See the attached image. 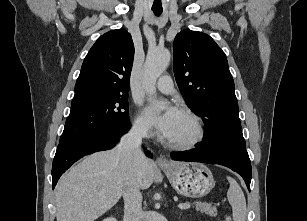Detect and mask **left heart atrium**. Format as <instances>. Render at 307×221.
<instances>
[{
  "mask_svg": "<svg viewBox=\"0 0 307 221\" xmlns=\"http://www.w3.org/2000/svg\"><path fill=\"white\" fill-rule=\"evenodd\" d=\"M181 115L177 107L172 106L163 111L157 102L151 103L146 108V116L149 121L168 139L173 135Z\"/></svg>",
  "mask_w": 307,
  "mask_h": 221,
  "instance_id": "39dd6f15",
  "label": "left heart atrium"
}]
</instances>
